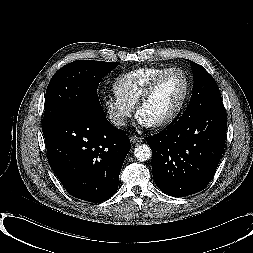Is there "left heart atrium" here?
<instances>
[{
	"label": "left heart atrium",
	"instance_id": "obj_1",
	"mask_svg": "<svg viewBox=\"0 0 253 253\" xmlns=\"http://www.w3.org/2000/svg\"><path fill=\"white\" fill-rule=\"evenodd\" d=\"M138 123L143 128H148L152 126V123L149 120L140 115H138Z\"/></svg>",
	"mask_w": 253,
	"mask_h": 253
}]
</instances>
